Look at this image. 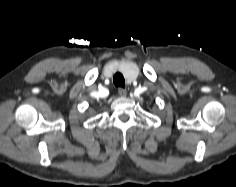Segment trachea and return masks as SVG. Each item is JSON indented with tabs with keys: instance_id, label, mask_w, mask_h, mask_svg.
Segmentation results:
<instances>
[{
	"instance_id": "trachea-1",
	"label": "trachea",
	"mask_w": 236,
	"mask_h": 187,
	"mask_svg": "<svg viewBox=\"0 0 236 187\" xmlns=\"http://www.w3.org/2000/svg\"><path fill=\"white\" fill-rule=\"evenodd\" d=\"M113 82L115 84V86L118 87H125V80L124 77L121 73H116L113 77Z\"/></svg>"
}]
</instances>
